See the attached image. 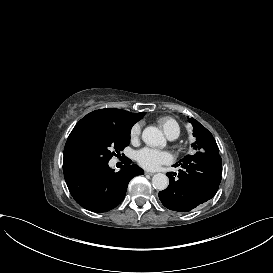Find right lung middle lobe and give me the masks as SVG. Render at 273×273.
I'll list each match as a JSON object with an SVG mask.
<instances>
[{
  "label": "right lung middle lobe",
  "instance_id": "right-lung-middle-lobe-1",
  "mask_svg": "<svg viewBox=\"0 0 273 273\" xmlns=\"http://www.w3.org/2000/svg\"><path fill=\"white\" fill-rule=\"evenodd\" d=\"M131 128L82 118L64 148L63 171L80 165L108 162L130 143Z\"/></svg>",
  "mask_w": 273,
  "mask_h": 273
}]
</instances>
